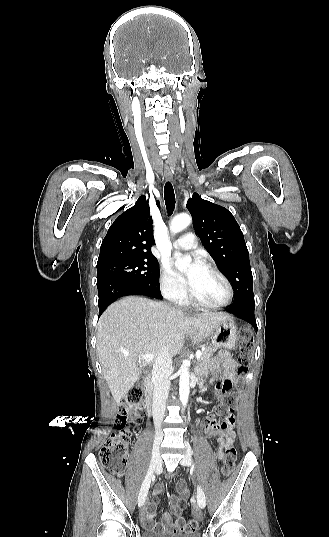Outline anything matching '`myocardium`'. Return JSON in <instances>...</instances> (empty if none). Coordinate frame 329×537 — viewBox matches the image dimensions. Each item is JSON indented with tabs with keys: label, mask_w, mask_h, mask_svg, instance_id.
<instances>
[{
	"label": "myocardium",
	"mask_w": 329,
	"mask_h": 537,
	"mask_svg": "<svg viewBox=\"0 0 329 537\" xmlns=\"http://www.w3.org/2000/svg\"><path fill=\"white\" fill-rule=\"evenodd\" d=\"M203 267L208 269V270H210V271H212L213 273H215L223 281V283H224V285L226 287V290H227V297H226V299L224 301H222L220 303H210V302H206V301H203V300L197 298L192 293V291H190V299L193 301L194 304H196V305H198L200 307H205V308L215 309V308H223V307L228 306L233 301V298H234V290H233V287H232L229 279L216 266H213L211 264L205 263V264H203Z\"/></svg>",
	"instance_id": "1"
}]
</instances>
